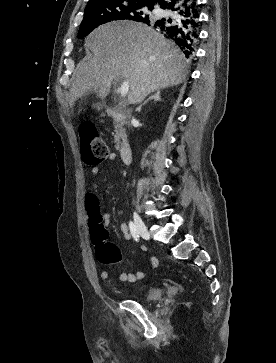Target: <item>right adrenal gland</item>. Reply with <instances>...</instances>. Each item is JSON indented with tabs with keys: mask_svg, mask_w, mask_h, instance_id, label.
<instances>
[{
	"mask_svg": "<svg viewBox=\"0 0 276 363\" xmlns=\"http://www.w3.org/2000/svg\"><path fill=\"white\" fill-rule=\"evenodd\" d=\"M149 100H154V101H160L161 98H160V91H156V93L152 96H150L146 101H144V103H142L137 109L136 111L137 112H140L141 111V108L143 105H145Z\"/></svg>",
	"mask_w": 276,
	"mask_h": 363,
	"instance_id": "right-adrenal-gland-1",
	"label": "right adrenal gland"
}]
</instances>
